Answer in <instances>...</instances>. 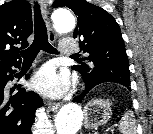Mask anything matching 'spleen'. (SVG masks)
<instances>
[{"instance_id": "spleen-1", "label": "spleen", "mask_w": 153, "mask_h": 134, "mask_svg": "<svg viewBox=\"0 0 153 134\" xmlns=\"http://www.w3.org/2000/svg\"><path fill=\"white\" fill-rule=\"evenodd\" d=\"M119 131L121 134H136V126L134 113L132 111H127L119 124Z\"/></svg>"}]
</instances>
